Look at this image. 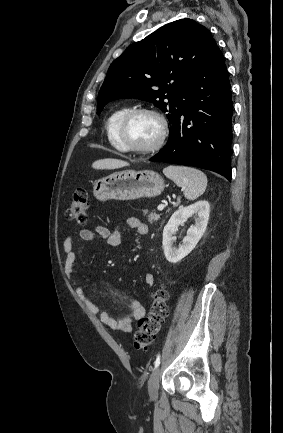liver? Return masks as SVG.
Returning a JSON list of instances; mask_svg holds the SVG:
<instances>
[{
    "label": "liver",
    "instance_id": "liver-1",
    "mask_svg": "<svg viewBox=\"0 0 283 433\" xmlns=\"http://www.w3.org/2000/svg\"><path fill=\"white\" fill-rule=\"evenodd\" d=\"M92 166L93 168H121V166H129V162L119 160V158H100V160H95Z\"/></svg>",
    "mask_w": 283,
    "mask_h": 433
}]
</instances>
